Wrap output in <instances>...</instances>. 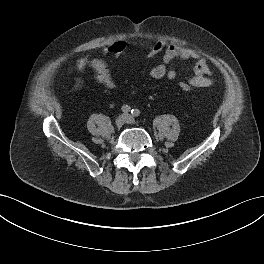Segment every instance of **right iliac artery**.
<instances>
[{"label":"right iliac artery","instance_id":"82829eb1","mask_svg":"<svg viewBox=\"0 0 264 264\" xmlns=\"http://www.w3.org/2000/svg\"><path fill=\"white\" fill-rule=\"evenodd\" d=\"M121 110H122V112H124V113H128V112H130L131 107L128 106V105H123L122 108H121Z\"/></svg>","mask_w":264,"mask_h":264}]
</instances>
